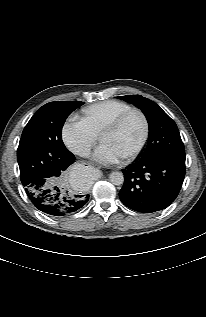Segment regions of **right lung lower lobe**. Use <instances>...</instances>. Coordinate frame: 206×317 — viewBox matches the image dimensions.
<instances>
[{"mask_svg": "<svg viewBox=\"0 0 206 317\" xmlns=\"http://www.w3.org/2000/svg\"><path fill=\"white\" fill-rule=\"evenodd\" d=\"M74 161L75 156L69 152L58 158L56 167L58 170L65 171ZM24 187L33 205L40 211L53 216L72 214L82 208L89 200L88 194L82 195L66 191L63 183L56 184L47 176L33 179Z\"/></svg>", "mask_w": 206, "mask_h": 317, "instance_id": "right-lung-lower-lobe-1", "label": "right lung lower lobe"}]
</instances>
